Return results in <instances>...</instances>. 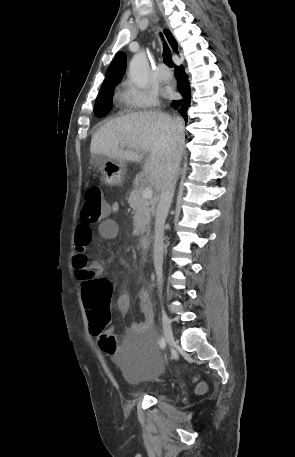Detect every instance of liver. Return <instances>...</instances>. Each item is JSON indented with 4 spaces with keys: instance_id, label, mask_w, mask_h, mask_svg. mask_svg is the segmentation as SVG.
I'll return each mask as SVG.
<instances>
[{
    "instance_id": "obj_1",
    "label": "liver",
    "mask_w": 295,
    "mask_h": 457,
    "mask_svg": "<svg viewBox=\"0 0 295 457\" xmlns=\"http://www.w3.org/2000/svg\"><path fill=\"white\" fill-rule=\"evenodd\" d=\"M138 149L141 153L134 152ZM184 149L183 124L166 113H131L104 124L92 137L90 152L122 161L139 162L148 154L143 173L160 190L168 159Z\"/></svg>"
}]
</instances>
